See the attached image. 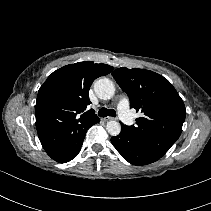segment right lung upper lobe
<instances>
[{"label":"right lung upper lobe","mask_w":211,"mask_h":211,"mask_svg":"<svg viewBox=\"0 0 211 211\" xmlns=\"http://www.w3.org/2000/svg\"><path fill=\"white\" fill-rule=\"evenodd\" d=\"M112 66L92 61L66 65L54 71L38 91L36 129L46 153L52 158L71 148L76 135L98 123L91 103L92 82L110 73Z\"/></svg>","instance_id":"cb5924a9"}]
</instances>
